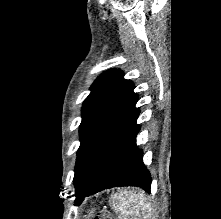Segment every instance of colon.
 Wrapping results in <instances>:
<instances>
[{
    "instance_id": "colon-1",
    "label": "colon",
    "mask_w": 221,
    "mask_h": 219,
    "mask_svg": "<svg viewBox=\"0 0 221 219\" xmlns=\"http://www.w3.org/2000/svg\"><path fill=\"white\" fill-rule=\"evenodd\" d=\"M89 219H113L111 214L106 211H101L99 213H91Z\"/></svg>"
}]
</instances>
